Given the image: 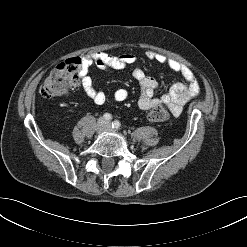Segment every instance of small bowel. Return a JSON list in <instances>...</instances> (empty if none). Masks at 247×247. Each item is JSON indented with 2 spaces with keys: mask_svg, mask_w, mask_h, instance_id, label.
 Returning <instances> with one entry per match:
<instances>
[{
  "mask_svg": "<svg viewBox=\"0 0 247 247\" xmlns=\"http://www.w3.org/2000/svg\"><path fill=\"white\" fill-rule=\"evenodd\" d=\"M146 58L180 73L184 81L173 84L166 93L157 98L155 92L158 88V82L146 75L140 67H135L132 70V76L140 87L139 107L143 110H150L157 105H165L173 116L180 115L184 105L197 96L200 91L199 83L192 70L177 60L152 50L146 52ZM136 61L137 57L131 53L114 56L106 52L96 51L82 56L78 76L84 93L95 104H105L107 96L104 92L95 89L89 76L90 67L96 65L101 69L119 70L134 64ZM113 98L117 102H123L128 98V91L125 88H119L114 92Z\"/></svg>",
  "mask_w": 247,
  "mask_h": 247,
  "instance_id": "small-bowel-1",
  "label": "small bowel"
}]
</instances>
